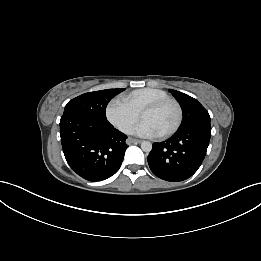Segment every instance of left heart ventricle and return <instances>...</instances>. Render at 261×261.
Here are the masks:
<instances>
[{"label":"left heart ventricle","instance_id":"b2bd125f","mask_svg":"<svg viewBox=\"0 0 261 261\" xmlns=\"http://www.w3.org/2000/svg\"><path fill=\"white\" fill-rule=\"evenodd\" d=\"M142 119L151 122L160 133H163L175 124L177 109L173 104H166L156 110L145 112Z\"/></svg>","mask_w":261,"mask_h":261}]
</instances>
